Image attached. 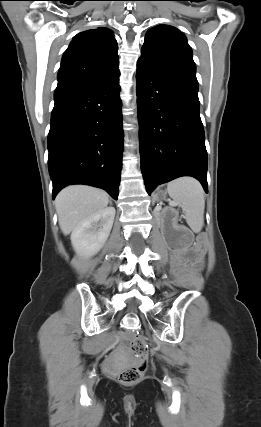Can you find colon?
Returning <instances> with one entry per match:
<instances>
[{"label":"colon","mask_w":261,"mask_h":427,"mask_svg":"<svg viewBox=\"0 0 261 427\" xmlns=\"http://www.w3.org/2000/svg\"><path fill=\"white\" fill-rule=\"evenodd\" d=\"M131 349L134 355L138 358L139 364L122 371L119 375V381L124 385H132L138 383L147 367L148 345L142 336H136L131 340Z\"/></svg>","instance_id":"obj_1"}]
</instances>
